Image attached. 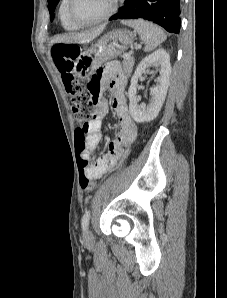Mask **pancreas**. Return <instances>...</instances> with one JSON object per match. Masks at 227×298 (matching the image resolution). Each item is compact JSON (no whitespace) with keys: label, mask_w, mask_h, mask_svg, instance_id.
Here are the masks:
<instances>
[{"label":"pancreas","mask_w":227,"mask_h":298,"mask_svg":"<svg viewBox=\"0 0 227 298\" xmlns=\"http://www.w3.org/2000/svg\"><path fill=\"white\" fill-rule=\"evenodd\" d=\"M134 58L130 57V58H124L122 65H123V70L127 75H130L133 66H134Z\"/></svg>","instance_id":"1"}]
</instances>
